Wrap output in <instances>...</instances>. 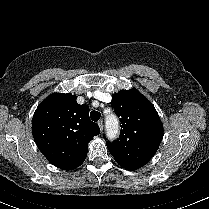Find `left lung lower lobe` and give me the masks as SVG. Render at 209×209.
I'll list each match as a JSON object with an SVG mask.
<instances>
[{
  "instance_id": "0a47b994",
  "label": "left lung lower lobe",
  "mask_w": 209,
  "mask_h": 209,
  "mask_svg": "<svg viewBox=\"0 0 209 209\" xmlns=\"http://www.w3.org/2000/svg\"><path fill=\"white\" fill-rule=\"evenodd\" d=\"M122 167L128 169V170H136L141 168L142 166L137 165V164H120Z\"/></svg>"
}]
</instances>
